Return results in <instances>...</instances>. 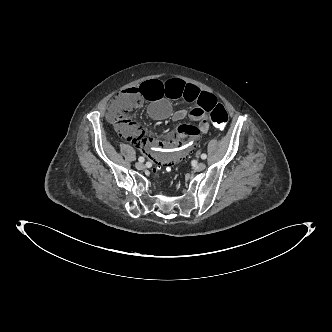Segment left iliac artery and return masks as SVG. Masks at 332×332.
<instances>
[{"label":"left iliac artery","mask_w":332,"mask_h":332,"mask_svg":"<svg viewBox=\"0 0 332 332\" xmlns=\"http://www.w3.org/2000/svg\"><path fill=\"white\" fill-rule=\"evenodd\" d=\"M206 158H207V155H206L205 153H203V154L201 155V159L205 160Z\"/></svg>","instance_id":"left-iliac-artery-1"}]
</instances>
